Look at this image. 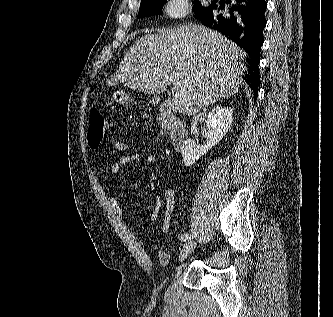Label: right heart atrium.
<instances>
[{
	"instance_id": "1",
	"label": "right heart atrium",
	"mask_w": 333,
	"mask_h": 317,
	"mask_svg": "<svg viewBox=\"0 0 333 317\" xmlns=\"http://www.w3.org/2000/svg\"><path fill=\"white\" fill-rule=\"evenodd\" d=\"M161 11L170 19H182L189 13L190 4L188 0H164Z\"/></svg>"
}]
</instances>
